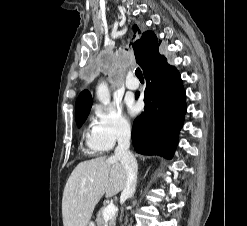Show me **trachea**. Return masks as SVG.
I'll return each mask as SVG.
<instances>
[{
    "mask_svg": "<svg viewBox=\"0 0 247 226\" xmlns=\"http://www.w3.org/2000/svg\"><path fill=\"white\" fill-rule=\"evenodd\" d=\"M135 75H136L138 78H143V74H142L140 68H137V69L135 70Z\"/></svg>",
    "mask_w": 247,
    "mask_h": 226,
    "instance_id": "3493384b",
    "label": "trachea"
}]
</instances>
